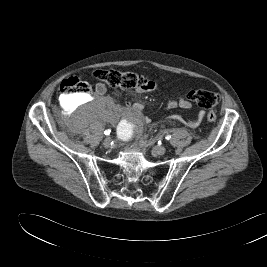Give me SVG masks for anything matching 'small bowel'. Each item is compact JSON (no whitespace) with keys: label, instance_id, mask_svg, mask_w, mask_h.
Listing matches in <instances>:
<instances>
[{"label":"small bowel","instance_id":"obj_1","mask_svg":"<svg viewBox=\"0 0 267 267\" xmlns=\"http://www.w3.org/2000/svg\"><path fill=\"white\" fill-rule=\"evenodd\" d=\"M157 88V85L152 82V86L149 88L136 89V93L150 92ZM95 92L99 96H103L107 92V87L104 83H97L95 86ZM110 102V101H109ZM167 106L170 109L181 108V109H190L192 107L191 102L184 96L178 95L177 97L170 98L167 101ZM142 106L138 103H135L126 109L118 110L117 116L120 118H127L134 122L135 124H140L145 122L147 124L151 123L150 117H142L141 115ZM203 113H201L196 120L189 121V125L196 126L201 122Z\"/></svg>","mask_w":267,"mask_h":267}]
</instances>
